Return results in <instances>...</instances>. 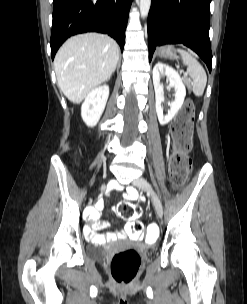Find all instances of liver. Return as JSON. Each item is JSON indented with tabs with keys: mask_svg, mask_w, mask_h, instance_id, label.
<instances>
[{
	"mask_svg": "<svg viewBox=\"0 0 247 304\" xmlns=\"http://www.w3.org/2000/svg\"><path fill=\"white\" fill-rule=\"evenodd\" d=\"M119 46L108 35L85 33L68 39L58 50L54 69L60 90L79 104L107 81L119 60Z\"/></svg>",
	"mask_w": 247,
	"mask_h": 304,
	"instance_id": "6515ba94",
	"label": "liver"
}]
</instances>
